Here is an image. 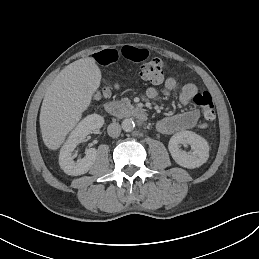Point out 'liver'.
I'll return each mask as SVG.
<instances>
[{
  "mask_svg": "<svg viewBox=\"0 0 259 259\" xmlns=\"http://www.w3.org/2000/svg\"><path fill=\"white\" fill-rule=\"evenodd\" d=\"M101 71L92 57L66 66L47 88L40 111L45 145L58 149L88 108L100 86Z\"/></svg>",
  "mask_w": 259,
  "mask_h": 259,
  "instance_id": "liver-1",
  "label": "liver"
}]
</instances>
